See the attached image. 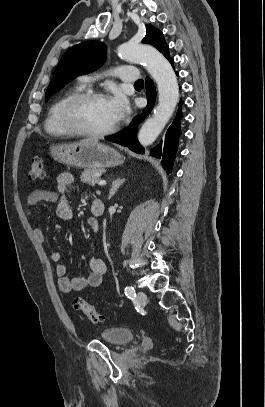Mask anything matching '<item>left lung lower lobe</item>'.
I'll list each match as a JSON object with an SVG mask.
<instances>
[{"label": "left lung lower lobe", "mask_w": 265, "mask_h": 407, "mask_svg": "<svg viewBox=\"0 0 265 407\" xmlns=\"http://www.w3.org/2000/svg\"><path fill=\"white\" fill-rule=\"evenodd\" d=\"M168 60L173 66L174 64L173 58H169ZM176 75L178 76L179 73L176 72ZM145 87L147 89L148 104L147 107L144 109L143 113L140 116H136L131 122L130 126L125 128L120 133L105 138L108 141H112L120 145L127 146L130 150L140 154L144 153V148L137 141L138 125L150 113L156 99L155 87L153 86L152 80L148 77L146 78ZM182 104L183 100H180L177 115L166 133L164 147L162 148V144H159L156 148L151 150L150 153L152 156L162 159L161 161L162 166L164 167L167 173H170L172 170L173 161L178 148L179 135L181 134L180 120L183 118L181 110Z\"/></svg>", "instance_id": "0a47b994"}]
</instances>
